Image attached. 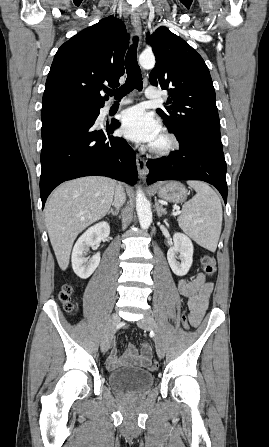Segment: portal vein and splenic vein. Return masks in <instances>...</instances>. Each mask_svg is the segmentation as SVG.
<instances>
[{"label": "portal vein and splenic vein", "mask_w": 269, "mask_h": 447, "mask_svg": "<svg viewBox=\"0 0 269 447\" xmlns=\"http://www.w3.org/2000/svg\"><path fill=\"white\" fill-rule=\"evenodd\" d=\"M176 214H180V212H176Z\"/></svg>", "instance_id": "1"}]
</instances>
